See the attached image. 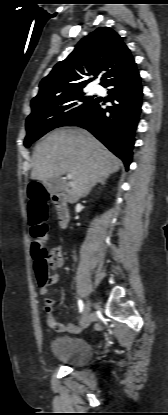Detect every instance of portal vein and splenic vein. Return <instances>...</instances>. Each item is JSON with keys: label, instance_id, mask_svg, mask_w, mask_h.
<instances>
[{"label": "portal vein and splenic vein", "instance_id": "obj_1", "mask_svg": "<svg viewBox=\"0 0 168 415\" xmlns=\"http://www.w3.org/2000/svg\"><path fill=\"white\" fill-rule=\"evenodd\" d=\"M67 177H68L69 179H71V178H72V175H71L70 173H68V174H67ZM69 186H70V187H72V186H74V184H73L72 182H70V183H69Z\"/></svg>", "mask_w": 168, "mask_h": 415}]
</instances>
